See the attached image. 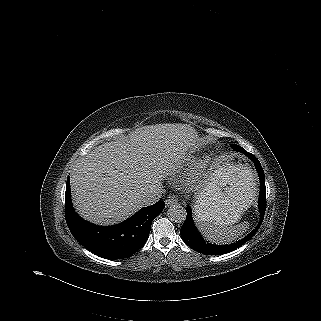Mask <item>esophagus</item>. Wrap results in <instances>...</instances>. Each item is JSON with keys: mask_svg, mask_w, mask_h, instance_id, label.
I'll use <instances>...</instances> for the list:
<instances>
[{"mask_svg": "<svg viewBox=\"0 0 321 321\" xmlns=\"http://www.w3.org/2000/svg\"><path fill=\"white\" fill-rule=\"evenodd\" d=\"M177 202H178V198L175 195H169L165 200V203L167 206L176 204Z\"/></svg>", "mask_w": 321, "mask_h": 321, "instance_id": "1", "label": "esophagus"}]
</instances>
